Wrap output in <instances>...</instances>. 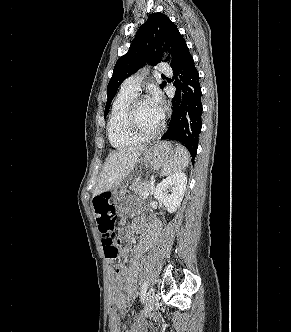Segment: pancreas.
<instances>
[{
  "mask_svg": "<svg viewBox=\"0 0 291 332\" xmlns=\"http://www.w3.org/2000/svg\"><path fill=\"white\" fill-rule=\"evenodd\" d=\"M151 189V182L144 181V182H135L130 186V190L134 191L135 194L139 196H143L146 191H150Z\"/></svg>",
  "mask_w": 291,
  "mask_h": 332,
  "instance_id": "1",
  "label": "pancreas"
}]
</instances>
